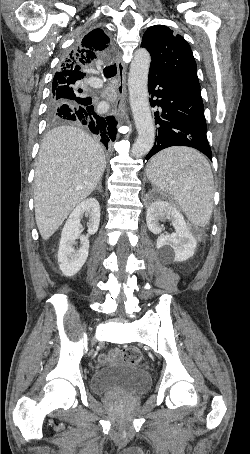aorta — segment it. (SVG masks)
Segmentation results:
<instances>
[{
	"instance_id": "1",
	"label": "aorta",
	"mask_w": 250,
	"mask_h": 454,
	"mask_svg": "<svg viewBox=\"0 0 250 454\" xmlns=\"http://www.w3.org/2000/svg\"><path fill=\"white\" fill-rule=\"evenodd\" d=\"M150 62L149 52L144 48L137 49L128 77L130 106L138 132V137L131 150V155L135 158L145 156L155 142V126L150 111L147 87Z\"/></svg>"
}]
</instances>
